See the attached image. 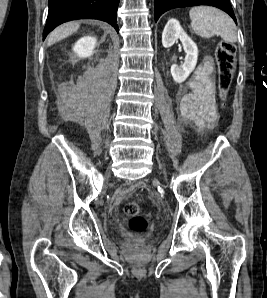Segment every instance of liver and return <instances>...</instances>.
Listing matches in <instances>:
<instances>
[{
	"instance_id": "1",
	"label": "liver",
	"mask_w": 267,
	"mask_h": 298,
	"mask_svg": "<svg viewBox=\"0 0 267 298\" xmlns=\"http://www.w3.org/2000/svg\"><path fill=\"white\" fill-rule=\"evenodd\" d=\"M79 27L80 24L78 22H69L57 27L48 36V46L72 35Z\"/></svg>"
}]
</instances>
